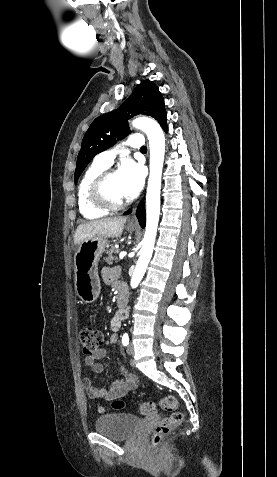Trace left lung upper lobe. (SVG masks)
<instances>
[{
    "instance_id": "5c2ea615",
    "label": "left lung upper lobe",
    "mask_w": 277,
    "mask_h": 477,
    "mask_svg": "<svg viewBox=\"0 0 277 477\" xmlns=\"http://www.w3.org/2000/svg\"><path fill=\"white\" fill-rule=\"evenodd\" d=\"M138 114L155 118L161 126L166 123L164 100L158 86L152 81L141 82L117 110L104 114L92 122L83 137L77 157L75 183L96 154L110 148L129 134L127 121Z\"/></svg>"
}]
</instances>
